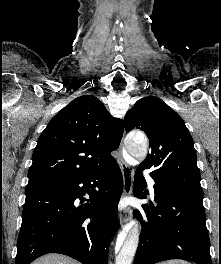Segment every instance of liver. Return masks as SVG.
<instances>
[{
	"label": "liver",
	"mask_w": 221,
	"mask_h": 264,
	"mask_svg": "<svg viewBox=\"0 0 221 264\" xmlns=\"http://www.w3.org/2000/svg\"><path fill=\"white\" fill-rule=\"evenodd\" d=\"M32 264H80V263L64 255L48 254L38 258Z\"/></svg>",
	"instance_id": "1"
}]
</instances>
